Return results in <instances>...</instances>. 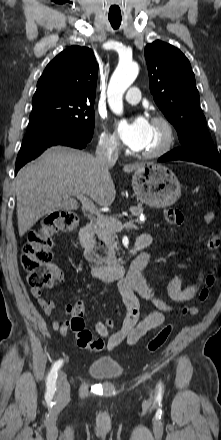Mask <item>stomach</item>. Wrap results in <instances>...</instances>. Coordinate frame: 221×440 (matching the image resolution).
I'll return each instance as SVG.
<instances>
[{
    "mask_svg": "<svg viewBox=\"0 0 221 440\" xmlns=\"http://www.w3.org/2000/svg\"><path fill=\"white\" fill-rule=\"evenodd\" d=\"M132 187L138 199L152 207L173 205L181 195V185L174 172L157 163H144L132 176Z\"/></svg>",
    "mask_w": 221,
    "mask_h": 440,
    "instance_id": "0dacf381",
    "label": "stomach"
}]
</instances>
